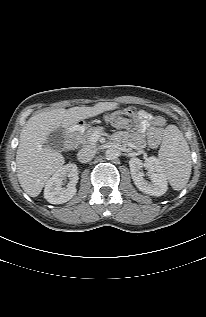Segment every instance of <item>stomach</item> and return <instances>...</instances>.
<instances>
[{
    "label": "stomach",
    "instance_id": "stomach-1",
    "mask_svg": "<svg viewBox=\"0 0 206 317\" xmlns=\"http://www.w3.org/2000/svg\"><path fill=\"white\" fill-rule=\"evenodd\" d=\"M81 124H83L84 126L86 125L85 123H83V122H80Z\"/></svg>",
    "mask_w": 206,
    "mask_h": 317
}]
</instances>
